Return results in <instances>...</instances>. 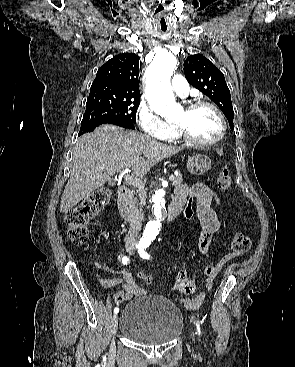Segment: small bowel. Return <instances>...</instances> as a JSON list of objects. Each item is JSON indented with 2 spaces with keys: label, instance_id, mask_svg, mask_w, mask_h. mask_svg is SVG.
I'll list each match as a JSON object with an SVG mask.
<instances>
[{
  "label": "small bowel",
  "instance_id": "obj_1",
  "mask_svg": "<svg viewBox=\"0 0 295 367\" xmlns=\"http://www.w3.org/2000/svg\"><path fill=\"white\" fill-rule=\"evenodd\" d=\"M189 195H194L196 197L195 208L201 223L200 236L196 247V256L198 259H201L206 254L211 244L213 234L220 228L221 223L218 212L213 208L212 202L215 194L206 185L199 182L192 185H179L175 189L174 200L182 201L185 205ZM96 267L101 268V264L96 263ZM220 271L221 269L217 265L204 267L202 271L204 275L203 283L207 291L212 290L213 280L218 276ZM97 279L103 287L123 284L122 289L112 297L116 304L126 302L134 296L145 294V290L136 285L128 270H122L120 278L107 280L97 276ZM175 289L185 295H191L194 293L195 281L189 277L187 270L178 271ZM204 299L205 292L200 291L192 297L186 296L181 298L179 301L186 309L195 311L200 308Z\"/></svg>",
  "mask_w": 295,
  "mask_h": 367
}]
</instances>
